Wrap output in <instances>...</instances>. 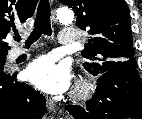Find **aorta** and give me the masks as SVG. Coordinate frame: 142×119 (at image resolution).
<instances>
[{
  "mask_svg": "<svg viewBox=\"0 0 142 119\" xmlns=\"http://www.w3.org/2000/svg\"><path fill=\"white\" fill-rule=\"evenodd\" d=\"M57 19L61 23H71L74 19V14L68 8H60L57 11Z\"/></svg>",
  "mask_w": 142,
  "mask_h": 119,
  "instance_id": "aorta-1",
  "label": "aorta"
}]
</instances>
